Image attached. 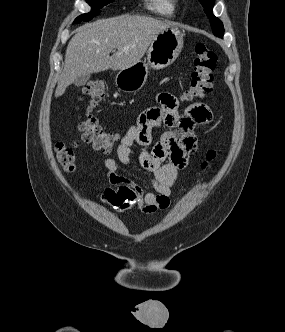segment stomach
Returning a JSON list of instances; mask_svg holds the SVG:
<instances>
[{
    "mask_svg": "<svg viewBox=\"0 0 285 332\" xmlns=\"http://www.w3.org/2000/svg\"><path fill=\"white\" fill-rule=\"evenodd\" d=\"M183 48V35L176 27L161 31L151 43L147 52V63L138 62L135 65L120 70L116 75V86L125 92L139 91L145 84L148 69H163L171 65Z\"/></svg>",
    "mask_w": 285,
    "mask_h": 332,
    "instance_id": "1",
    "label": "stomach"
}]
</instances>
